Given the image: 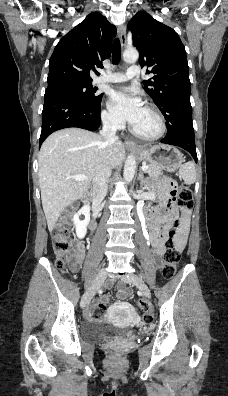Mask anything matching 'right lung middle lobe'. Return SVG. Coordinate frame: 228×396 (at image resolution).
<instances>
[{
  "label": "right lung middle lobe",
  "mask_w": 228,
  "mask_h": 396,
  "mask_svg": "<svg viewBox=\"0 0 228 396\" xmlns=\"http://www.w3.org/2000/svg\"><path fill=\"white\" fill-rule=\"evenodd\" d=\"M96 91L97 88H93L91 82H63L47 87L45 94L62 92L77 98L87 105H91L100 103L102 100L103 94H97Z\"/></svg>",
  "instance_id": "dd1d6c3e"
}]
</instances>
